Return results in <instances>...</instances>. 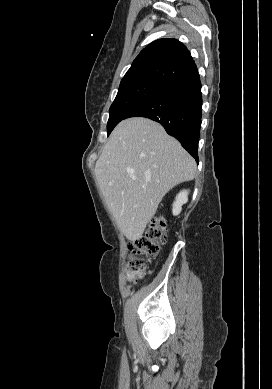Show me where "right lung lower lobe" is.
<instances>
[{
    "label": "right lung lower lobe",
    "instance_id": "98d812e1",
    "mask_svg": "<svg viewBox=\"0 0 272 389\" xmlns=\"http://www.w3.org/2000/svg\"><path fill=\"white\" fill-rule=\"evenodd\" d=\"M201 115V82L196 70L164 85L131 109L124 119L146 117L160 123L198 162Z\"/></svg>",
    "mask_w": 272,
    "mask_h": 389
}]
</instances>
